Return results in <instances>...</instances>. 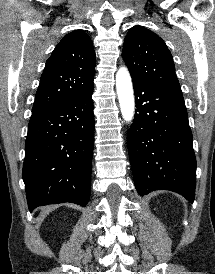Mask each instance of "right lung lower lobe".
<instances>
[{
    "instance_id": "obj_1",
    "label": "right lung lower lobe",
    "mask_w": 215,
    "mask_h": 274,
    "mask_svg": "<svg viewBox=\"0 0 215 274\" xmlns=\"http://www.w3.org/2000/svg\"><path fill=\"white\" fill-rule=\"evenodd\" d=\"M93 86L31 116L25 143L23 180L29 210L72 202L86 206L91 192Z\"/></svg>"
}]
</instances>
